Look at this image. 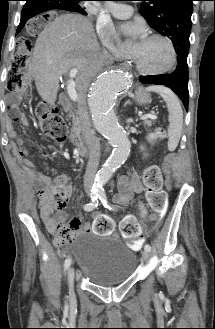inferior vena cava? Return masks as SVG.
Segmentation results:
<instances>
[{"instance_id":"inferior-vena-cava-1","label":"inferior vena cava","mask_w":215,"mask_h":329,"mask_svg":"<svg viewBox=\"0 0 215 329\" xmlns=\"http://www.w3.org/2000/svg\"><path fill=\"white\" fill-rule=\"evenodd\" d=\"M103 55L105 59H109L106 52H103ZM78 114L81 122L82 136L89 150V161L84 176V185L87 186L93 183L96 175L100 159V142L95 132L91 129L84 92L80 94Z\"/></svg>"}]
</instances>
